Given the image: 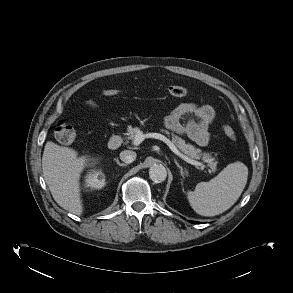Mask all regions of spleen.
Wrapping results in <instances>:
<instances>
[{
	"label": "spleen",
	"mask_w": 293,
	"mask_h": 293,
	"mask_svg": "<svg viewBox=\"0 0 293 293\" xmlns=\"http://www.w3.org/2000/svg\"><path fill=\"white\" fill-rule=\"evenodd\" d=\"M248 178L242 162L227 165L215 178L200 182L187 198L193 210L202 216L219 215L232 207L241 196Z\"/></svg>",
	"instance_id": "1"
}]
</instances>
